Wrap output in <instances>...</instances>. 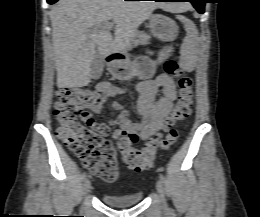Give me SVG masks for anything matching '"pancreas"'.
Wrapping results in <instances>:
<instances>
[{"label": "pancreas", "mask_w": 260, "mask_h": 217, "mask_svg": "<svg viewBox=\"0 0 260 217\" xmlns=\"http://www.w3.org/2000/svg\"><path fill=\"white\" fill-rule=\"evenodd\" d=\"M135 36L138 38L134 41L135 45H146L149 43L150 36L144 32H136Z\"/></svg>", "instance_id": "pancreas-1"}]
</instances>
